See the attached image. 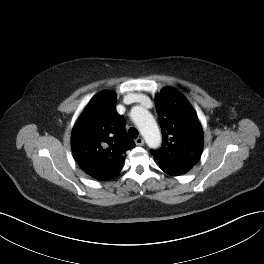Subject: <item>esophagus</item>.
Here are the masks:
<instances>
[{
    "label": "esophagus",
    "instance_id": "obj_1",
    "mask_svg": "<svg viewBox=\"0 0 264 264\" xmlns=\"http://www.w3.org/2000/svg\"><path fill=\"white\" fill-rule=\"evenodd\" d=\"M135 143L138 146H142V145H144V140H143V138L138 137V138L135 139Z\"/></svg>",
    "mask_w": 264,
    "mask_h": 264
}]
</instances>
